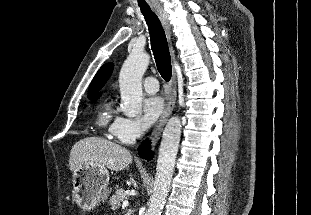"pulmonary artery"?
Masks as SVG:
<instances>
[{
  "mask_svg": "<svg viewBox=\"0 0 311 215\" xmlns=\"http://www.w3.org/2000/svg\"><path fill=\"white\" fill-rule=\"evenodd\" d=\"M145 90L149 93H155L159 90V84L155 77H147L143 81Z\"/></svg>",
  "mask_w": 311,
  "mask_h": 215,
  "instance_id": "e3ab8cb5",
  "label": "pulmonary artery"
}]
</instances>
